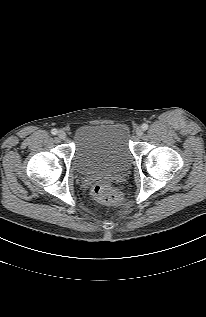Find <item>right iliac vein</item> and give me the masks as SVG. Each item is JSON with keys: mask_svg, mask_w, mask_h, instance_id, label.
Wrapping results in <instances>:
<instances>
[{"mask_svg": "<svg viewBox=\"0 0 206 317\" xmlns=\"http://www.w3.org/2000/svg\"><path fill=\"white\" fill-rule=\"evenodd\" d=\"M58 137L60 139H65L66 138V133L63 130L58 131Z\"/></svg>", "mask_w": 206, "mask_h": 317, "instance_id": "right-iliac-vein-1", "label": "right iliac vein"}]
</instances>
